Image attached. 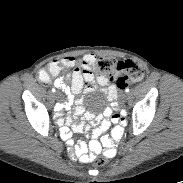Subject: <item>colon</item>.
I'll return each mask as SVG.
<instances>
[{
    "label": "colon",
    "mask_w": 183,
    "mask_h": 183,
    "mask_svg": "<svg viewBox=\"0 0 183 183\" xmlns=\"http://www.w3.org/2000/svg\"><path fill=\"white\" fill-rule=\"evenodd\" d=\"M95 66L104 77L114 81L117 90L140 81L144 75L143 66L132 60L103 57L96 61ZM55 75L56 71L54 69H44L39 72V78L44 83L51 81ZM87 159L98 166L104 165L107 161L106 158L94 155L87 156Z\"/></svg>",
    "instance_id": "colon-1"
}]
</instances>
